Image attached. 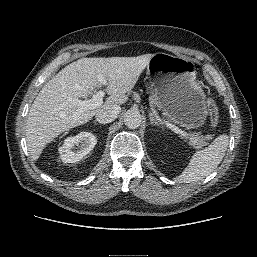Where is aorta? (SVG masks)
I'll return each mask as SVG.
<instances>
[{
    "label": "aorta",
    "instance_id": "1",
    "mask_svg": "<svg viewBox=\"0 0 257 257\" xmlns=\"http://www.w3.org/2000/svg\"><path fill=\"white\" fill-rule=\"evenodd\" d=\"M142 117L138 110H128L124 114V123L130 129H136L141 125Z\"/></svg>",
    "mask_w": 257,
    "mask_h": 257
}]
</instances>
